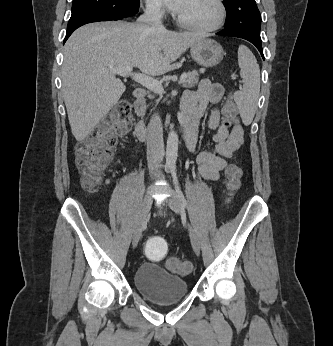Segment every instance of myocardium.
Listing matches in <instances>:
<instances>
[{
	"label": "myocardium",
	"mask_w": 333,
	"mask_h": 346,
	"mask_svg": "<svg viewBox=\"0 0 333 346\" xmlns=\"http://www.w3.org/2000/svg\"><path fill=\"white\" fill-rule=\"evenodd\" d=\"M214 3L216 4L218 9V15L215 22H213L212 24L206 26L198 25L190 21H187L183 19L181 16L177 15L176 20L178 24L184 28L202 33H210L217 31L224 25L226 21L227 10L223 0H214Z\"/></svg>",
	"instance_id": "myocardium-1"
}]
</instances>
